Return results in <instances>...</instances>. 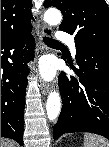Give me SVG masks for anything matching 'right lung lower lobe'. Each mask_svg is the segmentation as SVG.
I'll list each match as a JSON object with an SVG mask.
<instances>
[{
    "instance_id": "obj_1",
    "label": "right lung lower lobe",
    "mask_w": 109,
    "mask_h": 147,
    "mask_svg": "<svg viewBox=\"0 0 109 147\" xmlns=\"http://www.w3.org/2000/svg\"><path fill=\"white\" fill-rule=\"evenodd\" d=\"M30 32L1 42V136L20 145H23L27 61L33 58V53L27 50L34 46ZM10 50H14L11 57ZM9 57L13 63L7 61Z\"/></svg>"
}]
</instances>
